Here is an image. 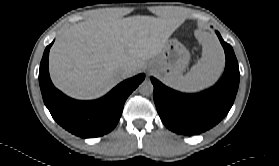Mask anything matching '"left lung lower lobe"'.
Here are the masks:
<instances>
[{"mask_svg":"<svg viewBox=\"0 0 279 166\" xmlns=\"http://www.w3.org/2000/svg\"><path fill=\"white\" fill-rule=\"evenodd\" d=\"M224 48L226 66L219 83L202 93L183 94L151 77L154 102L164 125L183 135L202 133L219 123L229 112L239 86V67L233 48L216 31Z\"/></svg>","mask_w":279,"mask_h":166,"instance_id":"1","label":"left lung lower lobe"}]
</instances>
